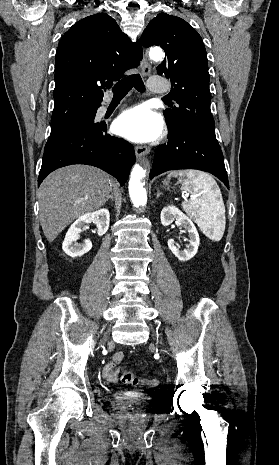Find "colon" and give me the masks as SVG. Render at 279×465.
I'll use <instances>...</instances> for the list:
<instances>
[{"label":"colon","instance_id":"5ec220e1","mask_svg":"<svg viewBox=\"0 0 279 465\" xmlns=\"http://www.w3.org/2000/svg\"><path fill=\"white\" fill-rule=\"evenodd\" d=\"M121 382L127 385H147L149 387H155L159 384V381L157 379H140L133 375V373L130 370H124L121 374Z\"/></svg>","mask_w":279,"mask_h":465}]
</instances>
